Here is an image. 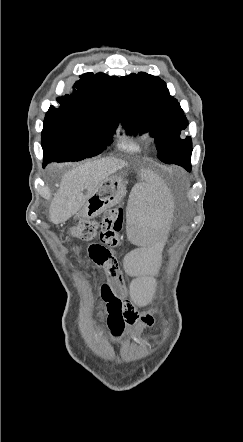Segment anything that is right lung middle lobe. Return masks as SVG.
<instances>
[{"mask_svg": "<svg viewBox=\"0 0 243 442\" xmlns=\"http://www.w3.org/2000/svg\"><path fill=\"white\" fill-rule=\"evenodd\" d=\"M117 126L110 120L51 106L42 131L44 161H79L96 156L111 143Z\"/></svg>", "mask_w": 243, "mask_h": 442, "instance_id": "dd1d6c3e", "label": "right lung middle lobe"}]
</instances>
